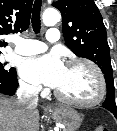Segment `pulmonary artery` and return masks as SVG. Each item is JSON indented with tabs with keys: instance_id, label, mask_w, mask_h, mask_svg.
<instances>
[{
	"instance_id": "obj_1",
	"label": "pulmonary artery",
	"mask_w": 117,
	"mask_h": 131,
	"mask_svg": "<svg viewBox=\"0 0 117 131\" xmlns=\"http://www.w3.org/2000/svg\"><path fill=\"white\" fill-rule=\"evenodd\" d=\"M60 38L59 30L51 28L46 33L47 41L54 43ZM47 49L46 44L39 40L18 38L15 40V52L21 55H35L44 52Z\"/></svg>"
}]
</instances>
